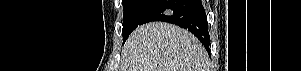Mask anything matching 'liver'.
Returning <instances> with one entry per match:
<instances>
[{
    "label": "liver",
    "instance_id": "obj_1",
    "mask_svg": "<svg viewBox=\"0 0 301 71\" xmlns=\"http://www.w3.org/2000/svg\"><path fill=\"white\" fill-rule=\"evenodd\" d=\"M121 71H209V56L190 32L152 22L137 27L127 39Z\"/></svg>",
    "mask_w": 301,
    "mask_h": 71
}]
</instances>
